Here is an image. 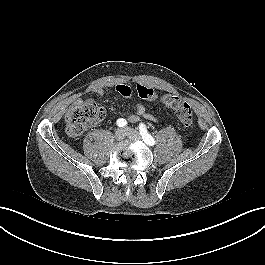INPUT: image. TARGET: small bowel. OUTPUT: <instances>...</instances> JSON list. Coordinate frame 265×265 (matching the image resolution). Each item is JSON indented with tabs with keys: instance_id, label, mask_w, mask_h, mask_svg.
I'll return each instance as SVG.
<instances>
[{
	"instance_id": "obj_1",
	"label": "small bowel",
	"mask_w": 265,
	"mask_h": 265,
	"mask_svg": "<svg viewBox=\"0 0 265 265\" xmlns=\"http://www.w3.org/2000/svg\"><path fill=\"white\" fill-rule=\"evenodd\" d=\"M116 90L119 94L122 96L128 97L131 94V90L127 85L120 84L116 87ZM96 93L100 96H103L105 94L104 89L99 88L96 90ZM167 94L161 95L160 101L163 103L162 98L166 96ZM164 104V103H163ZM141 117H144L150 121H157L156 115L153 113L149 112L146 107L142 104H136L134 106V113L129 115V120L132 123L138 122Z\"/></svg>"
}]
</instances>
